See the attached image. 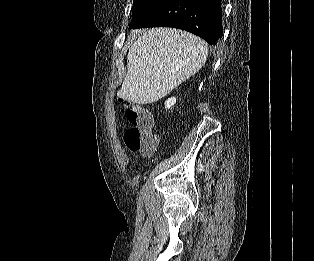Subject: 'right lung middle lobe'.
<instances>
[{"label":"right lung middle lobe","mask_w":314,"mask_h":261,"mask_svg":"<svg viewBox=\"0 0 314 261\" xmlns=\"http://www.w3.org/2000/svg\"><path fill=\"white\" fill-rule=\"evenodd\" d=\"M169 0H134L130 26L141 23Z\"/></svg>","instance_id":"dd1d6c3e"}]
</instances>
